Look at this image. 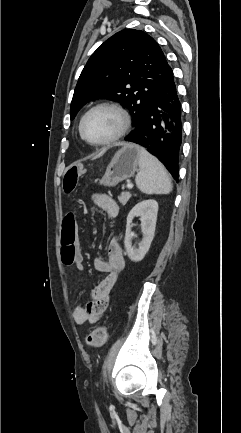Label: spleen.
I'll list each match as a JSON object with an SVG mask.
<instances>
[{"mask_svg":"<svg viewBox=\"0 0 241 433\" xmlns=\"http://www.w3.org/2000/svg\"><path fill=\"white\" fill-rule=\"evenodd\" d=\"M139 168L135 181L142 193L158 195L169 194L172 191L171 178L166 169L144 148H140Z\"/></svg>","mask_w":241,"mask_h":433,"instance_id":"obj_1","label":"spleen"}]
</instances>
